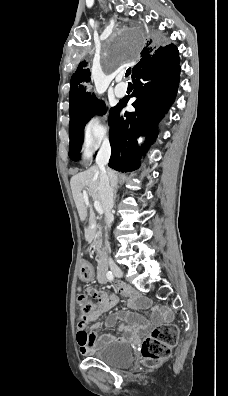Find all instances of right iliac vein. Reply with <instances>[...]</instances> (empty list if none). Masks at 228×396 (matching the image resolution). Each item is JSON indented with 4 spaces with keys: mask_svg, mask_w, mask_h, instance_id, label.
I'll list each match as a JSON object with an SVG mask.
<instances>
[{
    "mask_svg": "<svg viewBox=\"0 0 228 396\" xmlns=\"http://www.w3.org/2000/svg\"><path fill=\"white\" fill-rule=\"evenodd\" d=\"M109 266H110L111 271L113 272V274L116 277H118V278L123 277V271L117 264H115L114 262H110Z\"/></svg>",
    "mask_w": 228,
    "mask_h": 396,
    "instance_id": "right-iliac-vein-1",
    "label": "right iliac vein"
}]
</instances>
